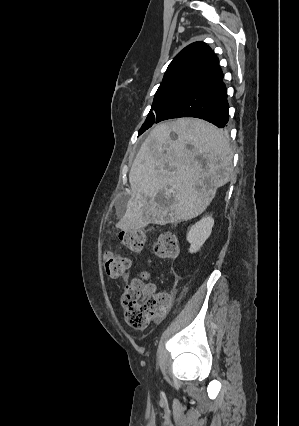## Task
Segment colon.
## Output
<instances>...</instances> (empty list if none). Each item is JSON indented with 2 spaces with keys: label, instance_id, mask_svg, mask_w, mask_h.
Wrapping results in <instances>:
<instances>
[{
  "label": "colon",
  "instance_id": "colon-1",
  "mask_svg": "<svg viewBox=\"0 0 299 426\" xmlns=\"http://www.w3.org/2000/svg\"><path fill=\"white\" fill-rule=\"evenodd\" d=\"M120 243L131 252H139L146 242L143 229L126 230L119 235ZM154 254L161 259L173 258L178 252V243L172 233L159 235L153 247ZM106 273L111 277L123 276L130 267V259L112 251L103 255ZM126 322L135 329L147 327L154 317L163 315L169 307L170 297L167 294H155L152 287L143 279H134L124 288L121 296Z\"/></svg>",
  "mask_w": 299,
  "mask_h": 426
}]
</instances>
